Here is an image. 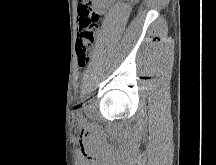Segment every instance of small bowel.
<instances>
[{"mask_svg":"<svg viewBox=\"0 0 216 165\" xmlns=\"http://www.w3.org/2000/svg\"><path fill=\"white\" fill-rule=\"evenodd\" d=\"M110 2L111 0H79V23L82 17V10H93L97 15H102L106 12Z\"/></svg>","mask_w":216,"mask_h":165,"instance_id":"1","label":"small bowel"}]
</instances>
